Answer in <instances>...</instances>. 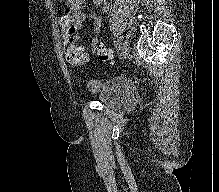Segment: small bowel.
Segmentation results:
<instances>
[{"mask_svg":"<svg viewBox=\"0 0 219 192\" xmlns=\"http://www.w3.org/2000/svg\"><path fill=\"white\" fill-rule=\"evenodd\" d=\"M86 0H65V13L59 18V25L61 27L62 37H65L70 32L72 34L73 41H78L80 36L78 32L82 29L86 22H91L94 26L95 37L93 43L98 42L97 35L101 26V19L98 15L91 14L87 17L83 11L82 6ZM92 3L96 9L101 13H106L109 9L107 0H92ZM80 51H83L82 47H77Z\"/></svg>","mask_w":219,"mask_h":192,"instance_id":"c3829d8e","label":"small bowel"}]
</instances>
